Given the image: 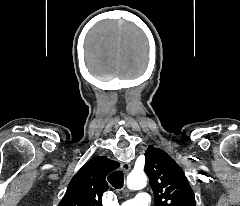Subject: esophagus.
I'll return each instance as SVG.
<instances>
[{"mask_svg":"<svg viewBox=\"0 0 240 206\" xmlns=\"http://www.w3.org/2000/svg\"><path fill=\"white\" fill-rule=\"evenodd\" d=\"M121 167H122V170L125 172V173H127L129 170H130V164L129 163H122V165H121Z\"/></svg>","mask_w":240,"mask_h":206,"instance_id":"34e87169","label":"esophagus"}]
</instances>
